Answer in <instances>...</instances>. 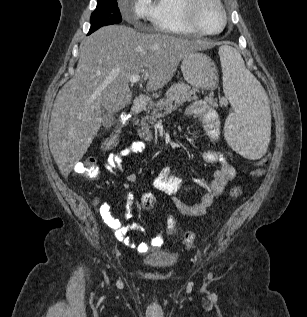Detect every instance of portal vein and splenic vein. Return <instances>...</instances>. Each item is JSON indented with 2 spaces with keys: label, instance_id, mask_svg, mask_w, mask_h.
<instances>
[{
  "label": "portal vein and splenic vein",
  "instance_id": "obj_1",
  "mask_svg": "<svg viewBox=\"0 0 307 317\" xmlns=\"http://www.w3.org/2000/svg\"><path fill=\"white\" fill-rule=\"evenodd\" d=\"M140 75L139 74H137V75H133V76H131L130 78H129V81L131 82V83H137V82H139L140 81Z\"/></svg>",
  "mask_w": 307,
  "mask_h": 317
}]
</instances>
